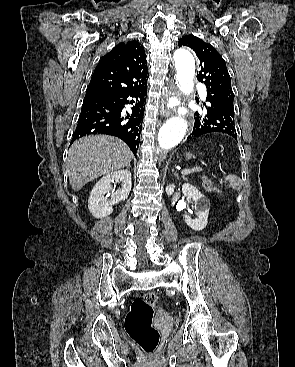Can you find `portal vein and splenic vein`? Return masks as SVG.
I'll use <instances>...</instances> for the list:
<instances>
[{"instance_id":"1","label":"portal vein and splenic vein","mask_w":295,"mask_h":367,"mask_svg":"<svg viewBox=\"0 0 295 367\" xmlns=\"http://www.w3.org/2000/svg\"><path fill=\"white\" fill-rule=\"evenodd\" d=\"M195 172H202V168L200 167H194L191 169H184L181 171L182 175H187V174H191V173H195Z\"/></svg>"}]
</instances>
